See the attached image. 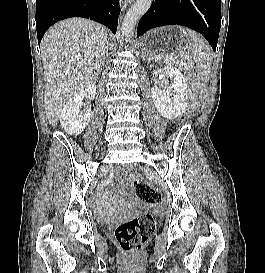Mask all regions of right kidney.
Here are the masks:
<instances>
[{"label":"right kidney","instance_id":"1","mask_svg":"<svg viewBox=\"0 0 265 273\" xmlns=\"http://www.w3.org/2000/svg\"><path fill=\"white\" fill-rule=\"evenodd\" d=\"M97 87L94 84L87 86L85 89L77 91L72 95L64 105L59 119L62 128L70 135H79L86 128L91 119V109L81 112L84 97L93 100L96 96Z\"/></svg>","mask_w":265,"mask_h":273}]
</instances>
